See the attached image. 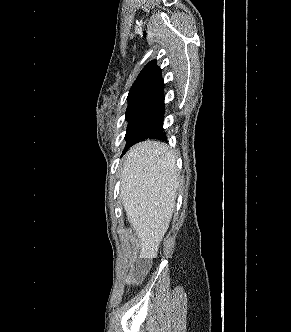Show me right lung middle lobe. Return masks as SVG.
Here are the masks:
<instances>
[{
	"instance_id": "dd1d6c3e",
	"label": "right lung middle lobe",
	"mask_w": 291,
	"mask_h": 332,
	"mask_svg": "<svg viewBox=\"0 0 291 332\" xmlns=\"http://www.w3.org/2000/svg\"><path fill=\"white\" fill-rule=\"evenodd\" d=\"M146 99V97H137V98H131L128 99V107L126 110V120L128 121V125L133 119L134 115L137 112V109L139 108L140 104Z\"/></svg>"
}]
</instances>
